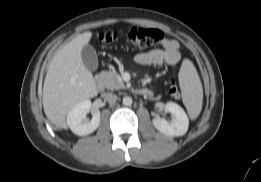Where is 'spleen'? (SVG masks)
<instances>
[{
    "mask_svg": "<svg viewBox=\"0 0 261 182\" xmlns=\"http://www.w3.org/2000/svg\"><path fill=\"white\" fill-rule=\"evenodd\" d=\"M178 78L183 103L190 118L194 120L202 109L203 88L197 70L190 60H183Z\"/></svg>",
    "mask_w": 261,
    "mask_h": 182,
    "instance_id": "3e777b00",
    "label": "spleen"
}]
</instances>
